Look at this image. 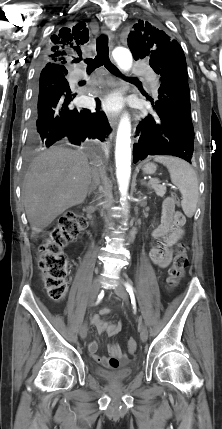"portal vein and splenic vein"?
Masks as SVG:
<instances>
[{"mask_svg": "<svg viewBox=\"0 0 222 429\" xmlns=\"http://www.w3.org/2000/svg\"><path fill=\"white\" fill-rule=\"evenodd\" d=\"M149 182H150V183H151V182L158 183L159 181H158V179H151Z\"/></svg>", "mask_w": 222, "mask_h": 429, "instance_id": "obj_1", "label": "portal vein and splenic vein"}]
</instances>
